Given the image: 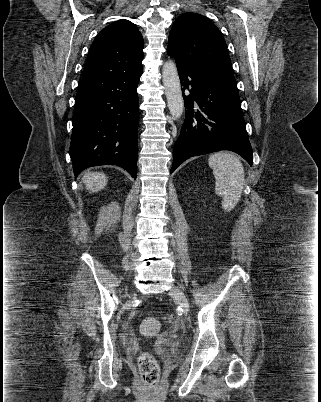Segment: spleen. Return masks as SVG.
Masks as SVG:
<instances>
[{
	"instance_id": "3e777b00",
	"label": "spleen",
	"mask_w": 321,
	"mask_h": 402,
	"mask_svg": "<svg viewBox=\"0 0 321 402\" xmlns=\"http://www.w3.org/2000/svg\"><path fill=\"white\" fill-rule=\"evenodd\" d=\"M209 166L216 181L215 192L222 197V207L232 210L241 198L244 186V167L237 156L227 152L209 156Z\"/></svg>"
}]
</instances>
